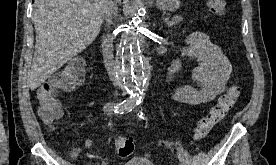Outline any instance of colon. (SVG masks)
<instances>
[{
  "label": "colon",
  "instance_id": "5ec220e1",
  "mask_svg": "<svg viewBox=\"0 0 276 165\" xmlns=\"http://www.w3.org/2000/svg\"><path fill=\"white\" fill-rule=\"evenodd\" d=\"M210 12L223 16L227 12L225 0H206ZM84 63L73 61L58 70L53 76L37 90L39 115L47 124H53L63 116V109L58 100L60 90H68L75 83L84 80ZM240 96L238 85H232L222 94L217 103L194 126L192 139L199 142L204 139L212 128L218 124L234 107ZM116 154L128 158L134 151V144L130 138L119 137L115 141Z\"/></svg>",
  "mask_w": 276,
  "mask_h": 165
}]
</instances>
